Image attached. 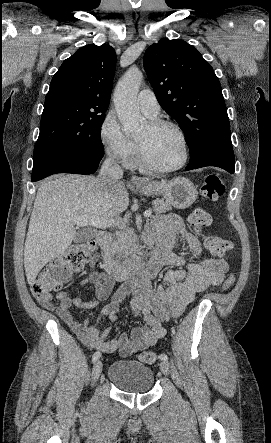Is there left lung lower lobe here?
Returning a JSON list of instances; mask_svg holds the SVG:
<instances>
[{
    "instance_id": "obj_1",
    "label": "left lung lower lobe",
    "mask_w": 271,
    "mask_h": 443,
    "mask_svg": "<svg viewBox=\"0 0 271 443\" xmlns=\"http://www.w3.org/2000/svg\"><path fill=\"white\" fill-rule=\"evenodd\" d=\"M205 166L220 167L233 174L235 170V158L234 155L219 152L205 153L191 160L187 165L186 170L197 169Z\"/></svg>"
}]
</instances>
